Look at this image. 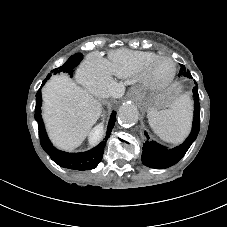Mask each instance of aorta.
<instances>
[{
    "mask_svg": "<svg viewBox=\"0 0 227 227\" xmlns=\"http://www.w3.org/2000/svg\"><path fill=\"white\" fill-rule=\"evenodd\" d=\"M139 113L132 104H125L118 111V121L124 127H131L138 121Z\"/></svg>",
    "mask_w": 227,
    "mask_h": 227,
    "instance_id": "762f6f07",
    "label": "aorta"
}]
</instances>
